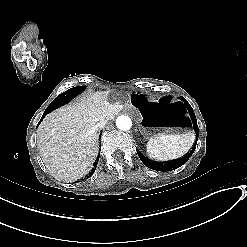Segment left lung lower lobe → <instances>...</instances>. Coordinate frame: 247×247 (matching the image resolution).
Segmentation results:
<instances>
[{
  "label": "left lung lower lobe",
  "mask_w": 247,
  "mask_h": 247,
  "mask_svg": "<svg viewBox=\"0 0 247 247\" xmlns=\"http://www.w3.org/2000/svg\"><path fill=\"white\" fill-rule=\"evenodd\" d=\"M185 103H186V107L190 113V116H191V119H192V122L194 125V130H195V133H196V136L198 139L199 129H198L197 120H196L194 111L188 102L185 101ZM196 143H197V141H196ZM195 148H196V144L193 147V149L190 151V153H188L185 157H183L179 160H175V161H171V162H163V163L151 161V160L147 159L146 157H144L140 152H137V153H138L139 158L141 159V161L143 162V164L145 166H147L150 169L156 170V171L165 172V171L174 170L176 168H179L183 164H185L188 161V159L191 157L193 152L195 151Z\"/></svg>",
  "instance_id": "obj_1"
}]
</instances>
